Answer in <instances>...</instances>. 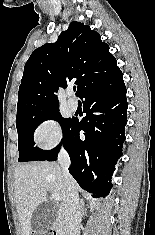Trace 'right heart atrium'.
Wrapping results in <instances>:
<instances>
[{"label": "right heart atrium", "instance_id": "d8ad5b80", "mask_svg": "<svg viewBox=\"0 0 155 235\" xmlns=\"http://www.w3.org/2000/svg\"><path fill=\"white\" fill-rule=\"evenodd\" d=\"M34 140L42 149H51L62 140V130L54 119L41 121L34 130Z\"/></svg>", "mask_w": 155, "mask_h": 235}]
</instances>
